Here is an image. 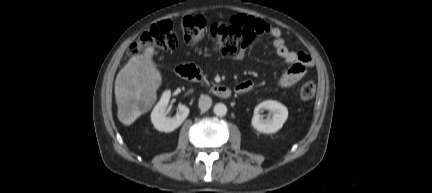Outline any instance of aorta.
I'll return each mask as SVG.
<instances>
[{
  "label": "aorta",
  "instance_id": "762f6f07",
  "mask_svg": "<svg viewBox=\"0 0 432 193\" xmlns=\"http://www.w3.org/2000/svg\"><path fill=\"white\" fill-rule=\"evenodd\" d=\"M213 111H214V113L217 115V116H225L226 114H227V107H226V105L225 104H223V103H217L215 106H214V109H213Z\"/></svg>",
  "mask_w": 432,
  "mask_h": 193
}]
</instances>
